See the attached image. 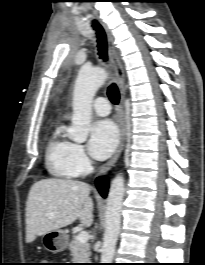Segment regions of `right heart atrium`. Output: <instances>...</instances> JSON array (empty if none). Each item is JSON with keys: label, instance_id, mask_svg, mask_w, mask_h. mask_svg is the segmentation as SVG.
<instances>
[{"label": "right heart atrium", "instance_id": "obj_1", "mask_svg": "<svg viewBox=\"0 0 205 265\" xmlns=\"http://www.w3.org/2000/svg\"><path fill=\"white\" fill-rule=\"evenodd\" d=\"M70 164L77 175H83L88 172L91 161L83 145L73 143L70 152Z\"/></svg>", "mask_w": 205, "mask_h": 265}]
</instances>
